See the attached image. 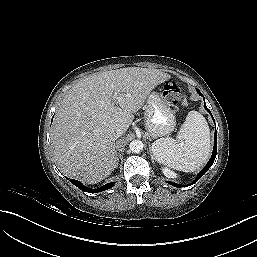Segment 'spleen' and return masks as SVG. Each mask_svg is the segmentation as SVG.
Wrapping results in <instances>:
<instances>
[{"mask_svg":"<svg viewBox=\"0 0 257 257\" xmlns=\"http://www.w3.org/2000/svg\"><path fill=\"white\" fill-rule=\"evenodd\" d=\"M210 149L209 126L197 111L188 113L176 139H158L151 148L159 163L183 172L199 169L208 159Z\"/></svg>","mask_w":257,"mask_h":257,"instance_id":"3e777b00","label":"spleen"}]
</instances>
